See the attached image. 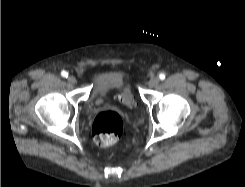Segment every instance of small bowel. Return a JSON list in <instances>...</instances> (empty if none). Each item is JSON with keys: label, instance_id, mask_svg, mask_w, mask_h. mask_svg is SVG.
Returning a JSON list of instances; mask_svg holds the SVG:
<instances>
[{"label": "small bowel", "instance_id": "obj_1", "mask_svg": "<svg viewBox=\"0 0 245 187\" xmlns=\"http://www.w3.org/2000/svg\"><path fill=\"white\" fill-rule=\"evenodd\" d=\"M102 102H103V98H102L101 94H99L97 96V98L95 99V105L98 106V105L102 104Z\"/></svg>", "mask_w": 245, "mask_h": 187}]
</instances>
